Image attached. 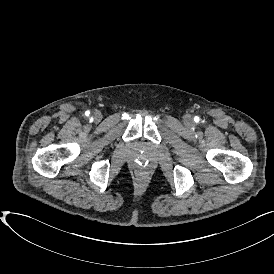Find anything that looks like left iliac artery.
<instances>
[{
    "mask_svg": "<svg viewBox=\"0 0 274 274\" xmlns=\"http://www.w3.org/2000/svg\"><path fill=\"white\" fill-rule=\"evenodd\" d=\"M194 120H195L196 122H198V121H199V118L196 116V117H194Z\"/></svg>",
    "mask_w": 274,
    "mask_h": 274,
    "instance_id": "obj_1",
    "label": "left iliac artery"
}]
</instances>
